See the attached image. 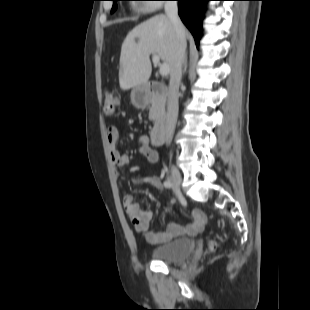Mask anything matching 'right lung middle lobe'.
<instances>
[{"mask_svg": "<svg viewBox=\"0 0 310 310\" xmlns=\"http://www.w3.org/2000/svg\"><path fill=\"white\" fill-rule=\"evenodd\" d=\"M112 1H113L114 3H113V7H112L111 12H114V11L116 10V8H117L116 2L119 1V0H112Z\"/></svg>", "mask_w": 310, "mask_h": 310, "instance_id": "dd1d6c3e", "label": "right lung middle lobe"}]
</instances>
